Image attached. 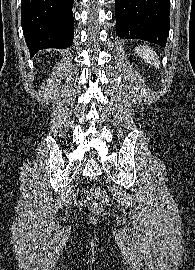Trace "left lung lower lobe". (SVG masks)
<instances>
[{"label":"left lung lower lobe","mask_w":195,"mask_h":270,"mask_svg":"<svg viewBox=\"0 0 195 270\" xmlns=\"http://www.w3.org/2000/svg\"><path fill=\"white\" fill-rule=\"evenodd\" d=\"M169 13V0H115L117 35L165 47L170 30Z\"/></svg>","instance_id":"0a47b994"}]
</instances>
